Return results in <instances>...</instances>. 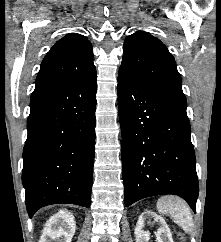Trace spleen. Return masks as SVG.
Returning a JSON list of instances; mask_svg holds the SVG:
<instances>
[{
  "mask_svg": "<svg viewBox=\"0 0 221 242\" xmlns=\"http://www.w3.org/2000/svg\"><path fill=\"white\" fill-rule=\"evenodd\" d=\"M157 210L163 215H168L185 233L192 234L193 217L184 200L175 196H163L157 201Z\"/></svg>",
  "mask_w": 221,
  "mask_h": 242,
  "instance_id": "obj_1",
  "label": "spleen"
}]
</instances>
